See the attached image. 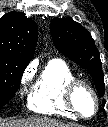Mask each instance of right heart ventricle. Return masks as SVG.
Wrapping results in <instances>:
<instances>
[{
  "instance_id": "obj_1",
  "label": "right heart ventricle",
  "mask_w": 108,
  "mask_h": 127,
  "mask_svg": "<svg viewBox=\"0 0 108 127\" xmlns=\"http://www.w3.org/2000/svg\"><path fill=\"white\" fill-rule=\"evenodd\" d=\"M74 79V73L64 61H49L29 94L30 109L44 115L76 118L65 101L66 87Z\"/></svg>"
}]
</instances>
